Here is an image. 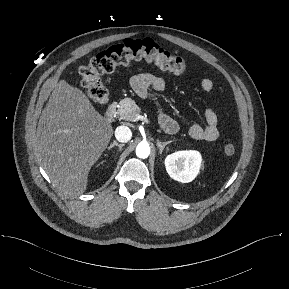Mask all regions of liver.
<instances>
[{
    "instance_id": "1",
    "label": "liver",
    "mask_w": 289,
    "mask_h": 289,
    "mask_svg": "<svg viewBox=\"0 0 289 289\" xmlns=\"http://www.w3.org/2000/svg\"><path fill=\"white\" fill-rule=\"evenodd\" d=\"M112 135L111 124L85 93L60 80L40 116L35 152L52 183L77 196L85 192L90 169Z\"/></svg>"
}]
</instances>
